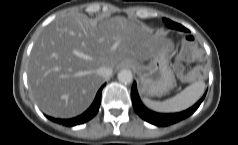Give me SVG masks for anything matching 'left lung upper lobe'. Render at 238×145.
I'll return each mask as SVG.
<instances>
[{
    "label": "left lung upper lobe",
    "instance_id": "1",
    "mask_svg": "<svg viewBox=\"0 0 238 145\" xmlns=\"http://www.w3.org/2000/svg\"><path fill=\"white\" fill-rule=\"evenodd\" d=\"M163 21L165 22V24L167 25V27L173 28V29H178V25H179V24H177V23H175V22H172L171 20L166 19V18H164Z\"/></svg>",
    "mask_w": 238,
    "mask_h": 145
}]
</instances>
